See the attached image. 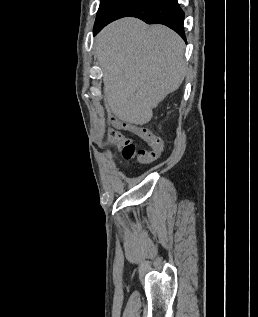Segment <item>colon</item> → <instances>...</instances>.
Masks as SVG:
<instances>
[{
  "mask_svg": "<svg viewBox=\"0 0 258 317\" xmlns=\"http://www.w3.org/2000/svg\"><path fill=\"white\" fill-rule=\"evenodd\" d=\"M109 141L115 145L126 159H138L143 163L155 161L159 154L153 150L138 149L134 142L118 130H111Z\"/></svg>",
  "mask_w": 258,
  "mask_h": 317,
  "instance_id": "1",
  "label": "colon"
}]
</instances>
